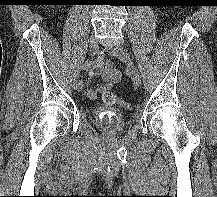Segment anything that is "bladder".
Listing matches in <instances>:
<instances>
[{"instance_id":"bladder-1","label":"bladder","mask_w":217,"mask_h":197,"mask_svg":"<svg viewBox=\"0 0 217 197\" xmlns=\"http://www.w3.org/2000/svg\"><path fill=\"white\" fill-rule=\"evenodd\" d=\"M93 119L103 132L109 134L121 133L126 127L125 116L116 109L98 107L93 111Z\"/></svg>"}]
</instances>
